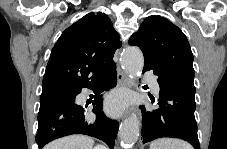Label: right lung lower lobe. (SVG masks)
<instances>
[{"instance_id":"98d812e1","label":"right lung lower lobe","mask_w":227,"mask_h":149,"mask_svg":"<svg viewBox=\"0 0 227 149\" xmlns=\"http://www.w3.org/2000/svg\"><path fill=\"white\" fill-rule=\"evenodd\" d=\"M116 83V64L112 63L95 79L76 87L73 100L58 101L39 111L36 135L39 149L54 139L71 134H86L98 138L113 149L119 124L116 120L108 119L103 113L100 93L113 88ZM85 87L93 90L96 95L92 110L96 114L94 122L87 121L85 109L75 103L76 95Z\"/></svg>"}]
</instances>
